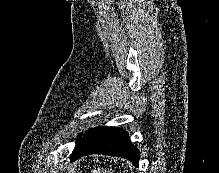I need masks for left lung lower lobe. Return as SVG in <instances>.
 Here are the masks:
<instances>
[{"mask_svg": "<svg viewBox=\"0 0 219 173\" xmlns=\"http://www.w3.org/2000/svg\"><path fill=\"white\" fill-rule=\"evenodd\" d=\"M88 154H104L123 157L138 166L140 154L131 143L125 130L121 128L99 127L79 137L72 153L71 161Z\"/></svg>", "mask_w": 219, "mask_h": 173, "instance_id": "obj_1", "label": "left lung lower lobe"}]
</instances>
